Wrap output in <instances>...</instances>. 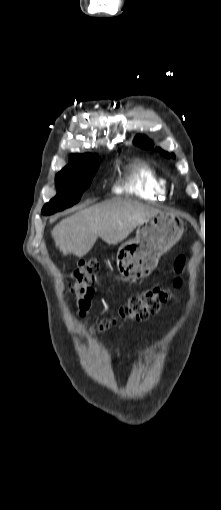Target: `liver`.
Returning <instances> with one entry per match:
<instances>
[{
    "label": "liver",
    "instance_id": "6515ba94",
    "mask_svg": "<svg viewBox=\"0 0 221 510\" xmlns=\"http://www.w3.org/2000/svg\"><path fill=\"white\" fill-rule=\"evenodd\" d=\"M160 210L130 199L97 203L61 220L51 234L63 255L85 256L98 237L110 245L126 239L144 220Z\"/></svg>",
    "mask_w": 221,
    "mask_h": 510
}]
</instances>
